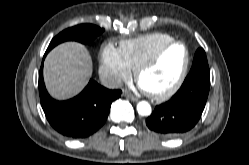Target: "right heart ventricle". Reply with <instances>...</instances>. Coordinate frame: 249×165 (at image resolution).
I'll return each instance as SVG.
<instances>
[{"label": "right heart ventricle", "instance_id": "obj_1", "mask_svg": "<svg viewBox=\"0 0 249 165\" xmlns=\"http://www.w3.org/2000/svg\"><path fill=\"white\" fill-rule=\"evenodd\" d=\"M174 40L166 33L152 32L120 43L119 50L131 70L151 57L161 46Z\"/></svg>", "mask_w": 249, "mask_h": 165}]
</instances>
